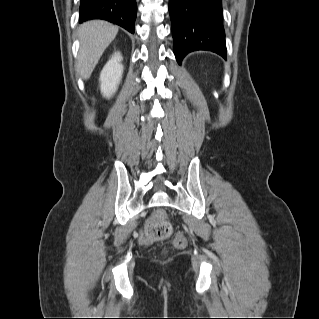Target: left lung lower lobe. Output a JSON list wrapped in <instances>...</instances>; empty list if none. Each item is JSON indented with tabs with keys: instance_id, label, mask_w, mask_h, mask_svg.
<instances>
[{
	"instance_id": "left-lung-lower-lobe-1",
	"label": "left lung lower lobe",
	"mask_w": 319,
	"mask_h": 319,
	"mask_svg": "<svg viewBox=\"0 0 319 319\" xmlns=\"http://www.w3.org/2000/svg\"><path fill=\"white\" fill-rule=\"evenodd\" d=\"M169 12L179 64L196 50L212 51L226 59L221 0H169Z\"/></svg>"
}]
</instances>
